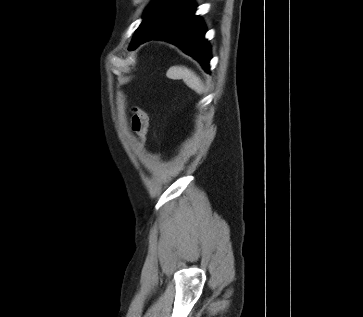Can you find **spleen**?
I'll use <instances>...</instances> for the list:
<instances>
[{"mask_svg":"<svg viewBox=\"0 0 363 317\" xmlns=\"http://www.w3.org/2000/svg\"><path fill=\"white\" fill-rule=\"evenodd\" d=\"M168 76L172 79H182L188 87L199 94L203 91V85L200 78L192 70L186 67L173 66L169 69Z\"/></svg>","mask_w":363,"mask_h":317,"instance_id":"obj_1","label":"spleen"}]
</instances>
